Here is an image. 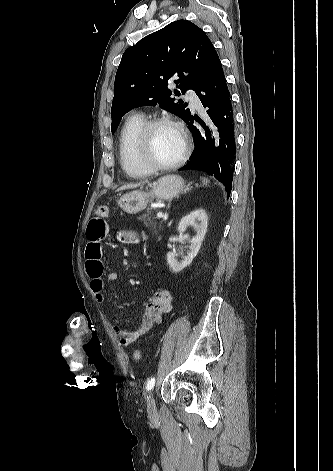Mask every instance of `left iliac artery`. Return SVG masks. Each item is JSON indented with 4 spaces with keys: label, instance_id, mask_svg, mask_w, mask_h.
<instances>
[{
    "label": "left iliac artery",
    "instance_id": "obj_1",
    "mask_svg": "<svg viewBox=\"0 0 333 471\" xmlns=\"http://www.w3.org/2000/svg\"><path fill=\"white\" fill-rule=\"evenodd\" d=\"M154 384H155V378H150L147 382V386H146V390L147 392H149L153 387H154Z\"/></svg>",
    "mask_w": 333,
    "mask_h": 471
}]
</instances>
